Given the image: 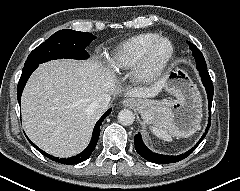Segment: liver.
<instances>
[{"label": "liver", "instance_id": "1", "mask_svg": "<svg viewBox=\"0 0 240 191\" xmlns=\"http://www.w3.org/2000/svg\"><path fill=\"white\" fill-rule=\"evenodd\" d=\"M164 81L147 88L123 89L113 72L96 60H53L39 65L22 94V125L39 148L56 157L83 151L101 112L92 103L102 94L126 91L129 97L151 98Z\"/></svg>", "mask_w": 240, "mask_h": 191}]
</instances>
